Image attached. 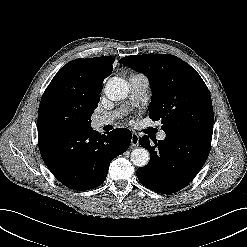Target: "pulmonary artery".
<instances>
[{"instance_id":"1","label":"pulmonary artery","mask_w":247,"mask_h":247,"mask_svg":"<svg viewBox=\"0 0 247 247\" xmlns=\"http://www.w3.org/2000/svg\"><path fill=\"white\" fill-rule=\"evenodd\" d=\"M149 81L148 78L142 74L133 75L129 80V103L128 105H137L139 104L145 97L146 92L148 90ZM128 106H124L118 111L106 113L103 115H98L93 118V125L95 128H100L107 124L112 123L116 118L120 117L127 109ZM166 134L164 132H160L158 134V139H165Z\"/></svg>"}]
</instances>
